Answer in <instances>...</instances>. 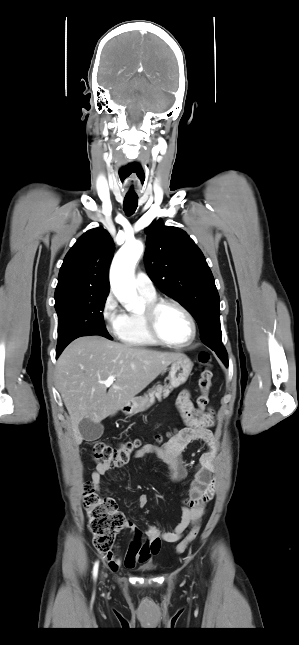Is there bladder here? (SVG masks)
<instances>
[{"label":"bladder","instance_id":"bladder-1","mask_svg":"<svg viewBox=\"0 0 299 645\" xmlns=\"http://www.w3.org/2000/svg\"><path fill=\"white\" fill-rule=\"evenodd\" d=\"M153 568L154 566L152 564H147L141 567L142 570H146V571L152 570Z\"/></svg>","mask_w":299,"mask_h":645}]
</instances>
